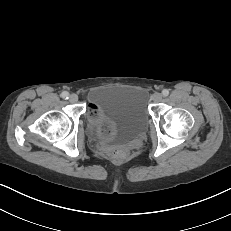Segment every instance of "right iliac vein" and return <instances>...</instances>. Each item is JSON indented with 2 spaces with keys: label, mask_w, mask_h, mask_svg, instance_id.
Returning a JSON list of instances; mask_svg holds the SVG:
<instances>
[{
  "label": "right iliac vein",
  "mask_w": 231,
  "mask_h": 231,
  "mask_svg": "<svg viewBox=\"0 0 231 231\" xmlns=\"http://www.w3.org/2000/svg\"><path fill=\"white\" fill-rule=\"evenodd\" d=\"M69 101H70L71 103H76V102L78 101V96H77L76 94H71V95L69 96Z\"/></svg>",
  "instance_id": "right-iliac-vein-1"
}]
</instances>
